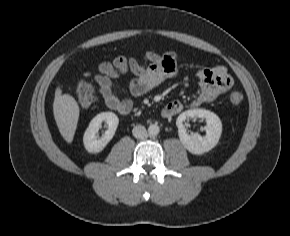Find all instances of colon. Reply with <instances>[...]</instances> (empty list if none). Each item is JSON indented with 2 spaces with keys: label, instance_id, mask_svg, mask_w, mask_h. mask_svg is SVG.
Returning a JSON list of instances; mask_svg holds the SVG:
<instances>
[{
  "label": "colon",
  "instance_id": "1",
  "mask_svg": "<svg viewBox=\"0 0 290 236\" xmlns=\"http://www.w3.org/2000/svg\"><path fill=\"white\" fill-rule=\"evenodd\" d=\"M76 99L82 107H88L94 102V89L89 81V74H85L84 78L78 82L76 86ZM243 99L244 96L239 91H234L230 94V101L234 105L240 104Z\"/></svg>",
  "mask_w": 290,
  "mask_h": 236
}]
</instances>
